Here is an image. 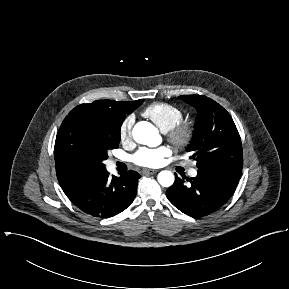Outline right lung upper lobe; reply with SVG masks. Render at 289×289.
<instances>
[{
    "label": "right lung upper lobe",
    "mask_w": 289,
    "mask_h": 289,
    "mask_svg": "<svg viewBox=\"0 0 289 289\" xmlns=\"http://www.w3.org/2000/svg\"><path fill=\"white\" fill-rule=\"evenodd\" d=\"M143 99L129 102H119L112 100H97L90 104H81L75 107L70 114L83 113L95 116H121L125 118V115L130 114L136 108H138L143 102ZM57 172V178L59 184L65 194L75 190L83 182H73L65 175Z\"/></svg>",
    "instance_id": "right-lung-upper-lobe-1"
}]
</instances>
